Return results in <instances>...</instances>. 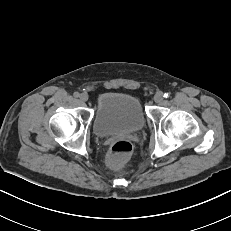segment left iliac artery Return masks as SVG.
I'll list each match as a JSON object with an SVG mask.
<instances>
[{
  "label": "left iliac artery",
  "mask_w": 231,
  "mask_h": 231,
  "mask_svg": "<svg viewBox=\"0 0 231 231\" xmlns=\"http://www.w3.org/2000/svg\"><path fill=\"white\" fill-rule=\"evenodd\" d=\"M169 96H170L169 93H165V94H164V97H165V98H169Z\"/></svg>",
  "instance_id": "1"
}]
</instances>
